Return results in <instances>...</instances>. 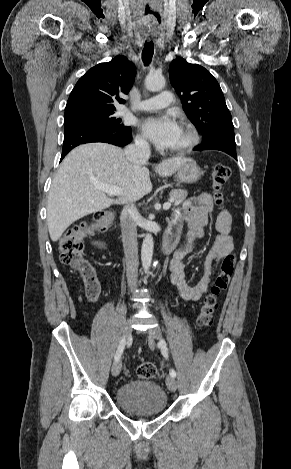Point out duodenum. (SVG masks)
I'll use <instances>...</instances> for the list:
<instances>
[{
  "label": "duodenum",
  "instance_id": "410a0bca",
  "mask_svg": "<svg viewBox=\"0 0 291 469\" xmlns=\"http://www.w3.org/2000/svg\"><path fill=\"white\" fill-rule=\"evenodd\" d=\"M179 238V231L173 227H168L162 244H161V251L164 255H169L175 248L177 241Z\"/></svg>",
  "mask_w": 291,
  "mask_h": 469
}]
</instances>
